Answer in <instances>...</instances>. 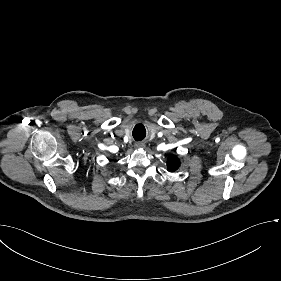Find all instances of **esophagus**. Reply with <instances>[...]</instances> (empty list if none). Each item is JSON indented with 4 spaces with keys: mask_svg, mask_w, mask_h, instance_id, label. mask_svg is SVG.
Instances as JSON below:
<instances>
[{
    "mask_svg": "<svg viewBox=\"0 0 281 281\" xmlns=\"http://www.w3.org/2000/svg\"><path fill=\"white\" fill-rule=\"evenodd\" d=\"M142 146H143L142 143H137V144H135V148H140V147H142Z\"/></svg>",
    "mask_w": 281,
    "mask_h": 281,
    "instance_id": "obj_1",
    "label": "esophagus"
}]
</instances>
